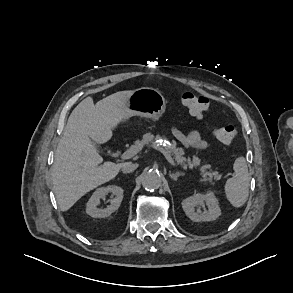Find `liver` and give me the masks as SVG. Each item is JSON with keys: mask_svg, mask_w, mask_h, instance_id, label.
<instances>
[{"mask_svg": "<svg viewBox=\"0 0 293 293\" xmlns=\"http://www.w3.org/2000/svg\"><path fill=\"white\" fill-rule=\"evenodd\" d=\"M132 91L116 92L94 104L81 101L70 114L51 169L53 190L61 211L69 210L89 191L116 177L123 164L105 162L95 143L103 144L127 116Z\"/></svg>", "mask_w": 293, "mask_h": 293, "instance_id": "liver-1", "label": "liver"}]
</instances>
